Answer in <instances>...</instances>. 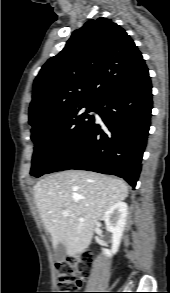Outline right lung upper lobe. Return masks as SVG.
I'll return each instance as SVG.
<instances>
[{"instance_id":"cb5924a9","label":"right lung upper lobe","mask_w":170,"mask_h":293,"mask_svg":"<svg viewBox=\"0 0 170 293\" xmlns=\"http://www.w3.org/2000/svg\"><path fill=\"white\" fill-rule=\"evenodd\" d=\"M147 69L142 54L119 25L106 18L75 30L33 85L29 124L36 128L81 105H96L112 88Z\"/></svg>"}]
</instances>
